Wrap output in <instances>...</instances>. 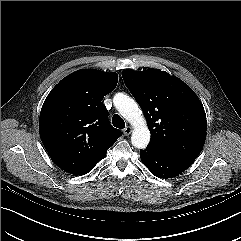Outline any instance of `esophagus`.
<instances>
[{
  "label": "esophagus",
  "mask_w": 241,
  "mask_h": 241,
  "mask_svg": "<svg viewBox=\"0 0 241 241\" xmlns=\"http://www.w3.org/2000/svg\"><path fill=\"white\" fill-rule=\"evenodd\" d=\"M131 132H132V128H131L130 126H127V127H125V128L123 129V134H124L125 136L130 135Z\"/></svg>",
  "instance_id": "1"
}]
</instances>
